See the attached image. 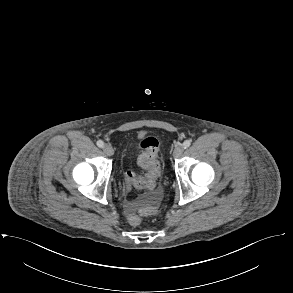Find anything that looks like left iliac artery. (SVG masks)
Here are the masks:
<instances>
[{
	"label": "left iliac artery",
	"mask_w": 293,
	"mask_h": 293,
	"mask_svg": "<svg viewBox=\"0 0 293 293\" xmlns=\"http://www.w3.org/2000/svg\"><path fill=\"white\" fill-rule=\"evenodd\" d=\"M190 145H191V141H190V140H185V141L183 142V147H184L185 149L188 148Z\"/></svg>",
	"instance_id": "left-iliac-artery-1"
}]
</instances>
